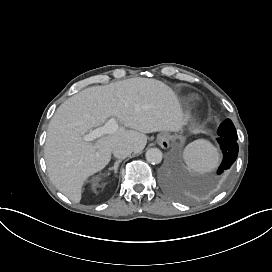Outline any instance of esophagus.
<instances>
[{
    "label": "esophagus",
    "instance_id": "obj_1",
    "mask_svg": "<svg viewBox=\"0 0 272 272\" xmlns=\"http://www.w3.org/2000/svg\"><path fill=\"white\" fill-rule=\"evenodd\" d=\"M159 144L162 148H168L169 147V141L167 140L166 136L162 137L159 141Z\"/></svg>",
    "mask_w": 272,
    "mask_h": 272
}]
</instances>
